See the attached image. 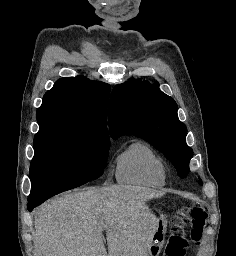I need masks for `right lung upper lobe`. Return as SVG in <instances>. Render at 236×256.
Returning a JSON list of instances; mask_svg holds the SVG:
<instances>
[{
    "mask_svg": "<svg viewBox=\"0 0 236 256\" xmlns=\"http://www.w3.org/2000/svg\"><path fill=\"white\" fill-rule=\"evenodd\" d=\"M110 86L83 76L61 78L37 109L39 128L70 127L108 137L106 107Z\"/></svg>",
    "mask_w": 236,
    "mask_h": 256,
    "instance_id": "obj_1",
    "label": "right lung upper lobe"
}]
</instances>
